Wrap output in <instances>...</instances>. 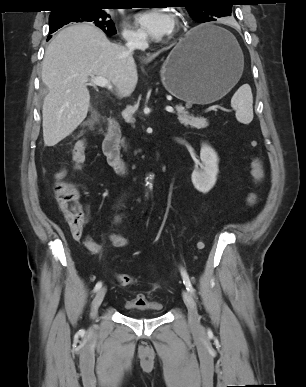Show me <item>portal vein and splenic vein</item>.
I'll return each mask as SVG.
<instances>
[{"label": "portal vein and splenic vein", "mask_w": 306, "mask_h": 387, "mask_svg": "<svg viewBox=\"0 0 306 387\" xmlns=\"http://www.w3.org/2000/svg\"><path fill=\"white\" fill-rule=\"evenodd\" d=\"M90 83L94 84V85H97L99 87H105V88H107L109 90H112V88H113L111 83L106 78H103V77H92L90 79ZM165 109L169 113H173L174 112V109L171 106H167ZM205 123H206V120L202 119V124L204 125Z\"/></svg>", "instance_id": "obj_1"}]
</instances>
